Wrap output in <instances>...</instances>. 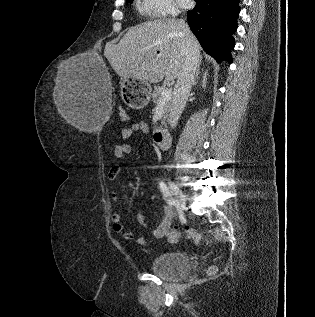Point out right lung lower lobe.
Listing matches in <instances>:
<instances>
[{
	"mask_svg": "<svg viewBox=\"0 0 315 317\" xmlns=\"http://www.w3.org/2000/svg\"><path fill=\"white\" fill-rule=\"evenodd\" d=\"M196 6L188 11V24L205 52L218 62L231 61L237 29L239 0H195Z\"/></svg>",
	"mask_w": 315,
	"mask_h": 317,
	"instance_id": "1",
	"label": "right lung lower lobe"
}]
</instances>
